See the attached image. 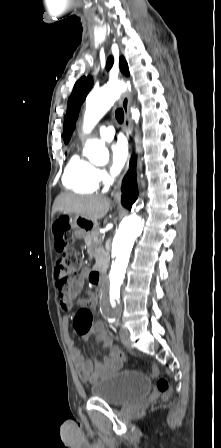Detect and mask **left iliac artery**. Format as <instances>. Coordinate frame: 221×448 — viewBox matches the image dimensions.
I'll return each instance as SVG.
<instances>
[{
    "label": "left iliac artery",
    "instance_id": "left-iliac-artery-1",
    "mask_svg": "<svg viewBox=\"0 0 221 448\" xmlns=\"http://www.w3.org/2000/svg\"><path fill=\"white\" fill-rule=\"evenodd\" d=\"M110 321L114 322V321H115V319H110Z\"/></svg>",
    "mask_w": 221,
    "mask_h": 448
}]
</instances>
